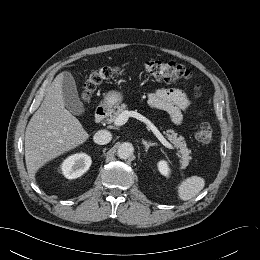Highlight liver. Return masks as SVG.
<instances>
[{
  "instance_id": "6515ba94",
  "label": "liver",
  "mask_w": 260,
  "mask_h": 260,
  "mask_svg": "<svg viewBox=\"0 0 260 260\" xmlns=\"http://www.w3.org/2000/svg\"><path fill=\"white\" fill-rule=\"evenodd\" d=\"M63 73L53 80L31 117L25 132V161L31 180L48 161L83 144L89 134L66 108L62 93Z\"/></svg>"
}]
</instances>
